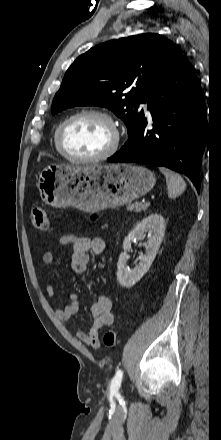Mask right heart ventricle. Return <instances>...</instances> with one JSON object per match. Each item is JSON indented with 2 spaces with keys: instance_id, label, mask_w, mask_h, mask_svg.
<instances>
[{
  "instance_id": "obj_1",
  "label": "right heart ventricle",
  "mask_w": 221,
  "mask_h": 440,
  "mask_svg": "<svg viewBox=\"0 0 221 440\" xmlns=\"http://www.w3.org/2000/svg\"><path fill=\"white\" fill-rule=\"evenodd\" d=\"M56 130H57V127L54 129V131H53V136H52V138H53V142H54V145H55V148L57 149V147H56V139H55V136H56Z\"/></svg>"
}]
</instances>
